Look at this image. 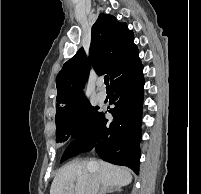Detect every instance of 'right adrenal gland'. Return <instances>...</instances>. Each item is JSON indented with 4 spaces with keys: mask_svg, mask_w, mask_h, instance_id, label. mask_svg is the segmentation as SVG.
Here are the masks:
<instances>
[{
    "mask_svg": "<svg viewBox=\"0 0 201 194\" xmlns=\"http://www.w3.org/2000/svg\"><path fill=\"white\" fill-rule=\"evenodd\" d=\"M120 191V187H101L99 194H107V193H112Z\"/></svg>",
    "mask_w": 201,
    "mask_h": 194,
    "instance_id": "obj_1",
    "label": "right adrenal gland"
}]
</instances>
